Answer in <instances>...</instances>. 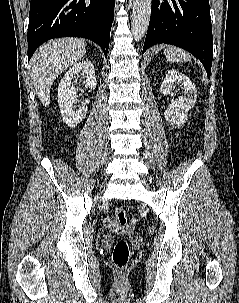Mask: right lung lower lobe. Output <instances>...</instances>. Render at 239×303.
Listing matches in <instances>:
<instances>
[{"mask_svg": "<svg viewBox=\"0 0 239 303\" xmlns=\"http://www.w3.org/2000/svg\"><path fill=\"white\" fill-rule=\"evenodd\" d=\"M115 0H31L28 61L45 41L82 37L97 43L107 56Z\"/></svg>", "mask_w": 239, "mask_h": 303, "instance_id": "98d812e1", "label": "right lung lower lobe"}]
</instances>
